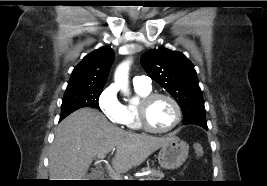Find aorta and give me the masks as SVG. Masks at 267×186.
<instances>
[{
	"label": "aorta",
	"mask_w": 267,
	"mask_h": 186,
	"mask_svg": "<svg viewBox=\"0 0 267 186\" xmlns=\"http://www.w3.org/2000/svg\"><path fill=\"white\" fill-rule=\"evenodd\" d=\"M128 71L129 62L122 63L115 72V83L125 93L128 94Z\"/></svg>",
	"instance_id": "1"
}]
</instances>
